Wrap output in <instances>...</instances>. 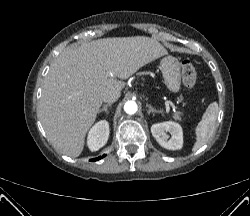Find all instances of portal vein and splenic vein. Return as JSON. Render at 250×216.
<instances>
[{"label": "portal vein and splenic vein", "instance_id": "18ae733b", "mask_svg": "<svg viewBox=\"0 0 250 216\" xmlns=\"http://www.w3.org/2000/svg\"><path fill=\"white\" fill-rule=\"evenodd\" d=\"M169 104L172 106L173 110L175 111V107L173 106V104L169 101L166 102V108L169 109Z\"/></svg>", "mask_w": 250, "mask_h": 216}]
</instances>
